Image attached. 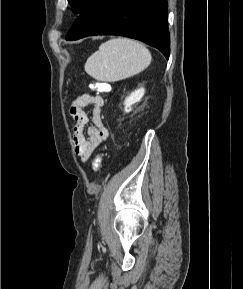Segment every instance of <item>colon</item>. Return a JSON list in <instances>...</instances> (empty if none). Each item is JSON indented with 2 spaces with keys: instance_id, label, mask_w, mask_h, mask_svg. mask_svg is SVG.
<instances>
[{
  "instance_id": "colon-1",
  "label": "colon",
  "mask_w": 243,
  "mask_h": 289,
  "mask_svg": "<svg viewBox=\"0 0 243 289\" xmlns=\"http://www.w3.org/2000/svg\"><path fill=\"white\" fill-rule=\"evenodd\" d=\"M91 87L97 91H106L107 87L104 83H93ZM102 163V154L96 155L93 160L92 167L94 171H99Z\"/></svg>"
}]
</instances>
